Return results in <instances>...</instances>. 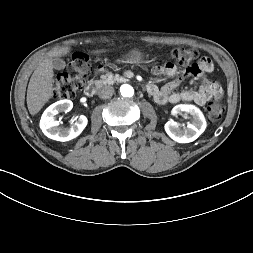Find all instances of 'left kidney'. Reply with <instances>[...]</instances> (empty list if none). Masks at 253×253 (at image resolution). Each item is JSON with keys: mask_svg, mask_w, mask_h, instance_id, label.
<instances>
[{"mask_svg": "<svg viewBox=\"0 0 253 253\" xmlns=\"http://www.w3.org/2000/svg\"><path fill=\"white\" fill-rule=\"evenodd\" d=\"M190 114L191 123L187 125V129H180L179 125L173 120L165 124V131L174 141L178 143H189L196 140L206 129V120L199 108L191 104L176 105L172 114Z\"/></svg>", "mask_w": 253, "mask_h": 253, "instance_id": "5707ae66", "label": "left kidney"}]
</instances>
